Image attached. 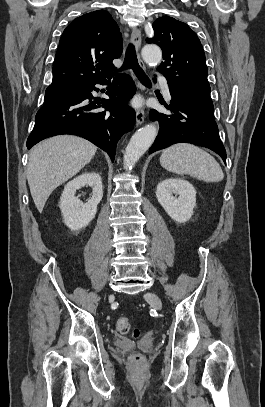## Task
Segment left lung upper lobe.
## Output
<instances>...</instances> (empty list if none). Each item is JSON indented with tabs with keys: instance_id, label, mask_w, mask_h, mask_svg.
I'll return each instance as SVG.
<instances>
[{
	"instance_id": "5c2ea615",
	"label": "left lung upper lobe",
	"mask_w": 265,
	"mask_h": 407,
	"mask_svg": "<svg viewBox=\"0 0 265 407\" xmlns=\"http://www.w3.org/2000/svg\"><path fill=\"white\" fill-rule=\"evenodd\" d=\"M152 27L154 37L146 41L162 49L164 62L157 70L167 79L171 96L214 116L205 54L196 33L169 16L158 18Z\"/></svg>"
}]
</instances>
